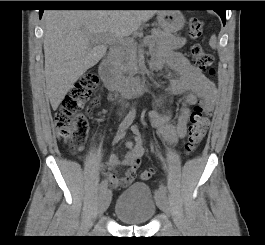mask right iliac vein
<instances>
[{"mask_svg":"<svg viewBox=\"0 0 265 245\" xmlns=\"http://www.w3.org/2000/svg\"><path fill=\"white\" fill-rule=\"evenodd\" d=\"M111 191L109 189L104 190L99 198L98 202V214L102 215L108 208L111 201Z\"/></svg>","mask_w":265,"mask_h":245,"instance_id":"obj_1","label":"right iliac vein"}]
</instances>
